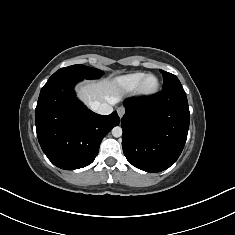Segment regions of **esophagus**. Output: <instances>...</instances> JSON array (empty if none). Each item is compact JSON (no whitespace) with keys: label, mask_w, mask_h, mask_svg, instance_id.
Returning <instances> with one entry per match:
<instances>
[{"label":"esophagus","mask_w":235,"mask_h":235,"mask_svg":"<svg viewBox=\"0 0 235 235\" xmlns=\"http://www.w3.org/2000/svg\"><path fill=\"white\" fill-rule=\"evenodd\" d=\"M117 113H118L119 117L122 118L123 115L125 114V108L124 107H119L117 109Z\"/></svg>","instance_id":"1"}]
</instances>
